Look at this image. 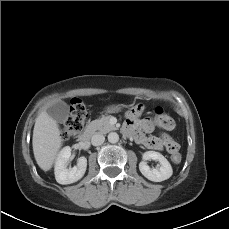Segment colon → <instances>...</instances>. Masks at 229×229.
<instances>
[{"label": "colon", "instance_id": "1", "mask_svg": "<svg viewBox=\"0 0 229 229\" xmlns=\"http://www.w3.org/2000/svg\"><path fill=\"white\" fill-rule=\"evenodd\" d=\"M86 118L87 112L83 101L81 99L74 98L70 103L69 116L62 127L63 138L70 139L83 133L85 129ZM161 121L163 125L168 128L174 127V121L169 116L162 117ZM165 147L167 151L172 154V161L174 163H180L182 157L178 153V144L174 141H168Z\"/></svg>", "mask_w": 229, "mask_h": 229}]
</instances>
